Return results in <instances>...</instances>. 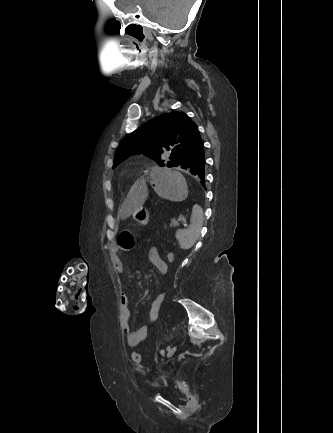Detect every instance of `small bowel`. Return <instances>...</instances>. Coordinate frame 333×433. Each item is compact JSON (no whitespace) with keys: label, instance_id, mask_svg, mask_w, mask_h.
<instances>
[{"label":"small bowel","instance_id":"obj_1","mask_svg":"<svg viewBox=\"0 0 333 433\" xmlns=\"http://www.w3.org/2000/svg\"><path fill=\"white\" fill-rule=\"evenodd\" d=\"M110 258L114 269L118 273H122L124 269V265L119 256L118 249L115 246H112L111 248ZM148 259L161 274L163 275L167 274L168 266L165 260L162 259L158 250L155 247H152L148 250ZM165 298H166L165 291H161L157 293L156 296L154 297V299L160 300L162 301V303L165 301ZM154 299L152 302H154ZM151 308L152 305L150 309ZM119 316H120L121 328L127 344L131 347L138 346L141 342H143L146 339L149 332V328L147 325H144L136 330L132 329L130 325L131 311L129 307V298L126 294L120 295Z\"/></svg>","mask_w":333,"mask_h":433}]
</instances>
